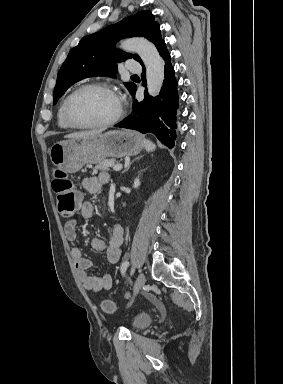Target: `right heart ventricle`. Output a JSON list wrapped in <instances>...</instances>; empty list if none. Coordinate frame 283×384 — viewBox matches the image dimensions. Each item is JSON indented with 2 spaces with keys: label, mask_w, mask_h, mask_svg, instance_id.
<instances>
[{
  "label": "right heart ventricle",
  "mask_w": 283,
  "mask_h": 384,
  "mask_svg": "<svg viewBox=\"0 0 283 384\" xmlns=\"http://www.w3.org/2000/svg\"><path fill=\"white\" fill-rule=\"evenodd\" d=\"M67 96L68 95H66L62 98V100L59 103L58 109H57V125L62 130H68L69 129V127L65 124V122L63 120V107H64V103H65Z\"/></svg>",
  "instance_id": "obj_1"
}]
</instances>
